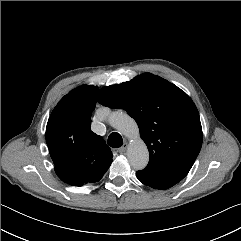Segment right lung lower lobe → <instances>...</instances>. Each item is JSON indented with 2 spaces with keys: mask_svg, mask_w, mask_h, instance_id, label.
<instances>
[{
  "mask_svg": "<svg viewBox=\"0 0 241 241\" xmlns=\"http://www.w3.org/2000/svg\"><path fill=\"white\" fill-rule=\"evenodd\" d=\"M55 172L63 182L73 185V186H82L86 183H89V182H84V181L80 180L79 178L74 177L73 175H71L68 172L63 171V170L57 169V170H55Z\"/></svg>",
  "mask_w": 241,
  "mask_h": 241,
  "instance_id": "1",
  "label": "right lung lower lobe"
}]
</instances>
